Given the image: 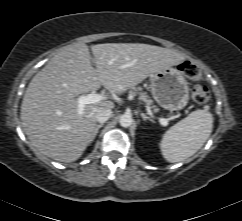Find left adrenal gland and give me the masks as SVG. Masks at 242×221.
<instances>
[{
  "label": "left adrenal gland",
  "instance_id": "a2214340",
  "mask_svg": "<svg viewBox=\"0 0 242 221\" xmlns=\"http://www.w3.org/2000/svg\"><path fill=\"white\" fill-rule=\"evenodd\" d=\"M141 117L143 118L144 121L149 120L155 123V121L152 118L148 117L145 113H141Z\"/></svg>",
  "mask_w": 242,
  "mask_h": 221
}]
</instances>
